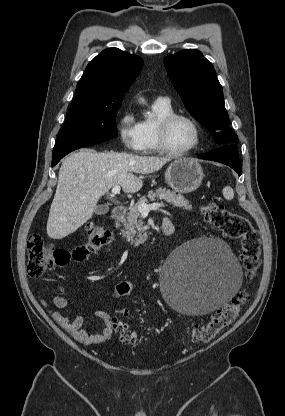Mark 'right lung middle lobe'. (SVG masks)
Here are the masks:
<instances>
[{"label": "right lung middle lobe", "mask_w": 285, "mask_h": 416, "mask_svg": "<svg viewBox=\"0 0 285 416\" xmlns=\"http://www.w3.org/2000/svg\"><path fill=\"white\" fill-rule=\"evenodd\" d=\"M121 101L84 103L73 100L57 142L116 137V115Z\"/></svg>", "instance_id": "1"}]
</instances>
